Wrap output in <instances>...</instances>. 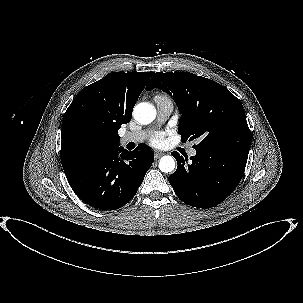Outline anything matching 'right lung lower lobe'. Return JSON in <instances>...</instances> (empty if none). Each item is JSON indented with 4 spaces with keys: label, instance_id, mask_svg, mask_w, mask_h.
<instances>
[{
    "label": "right lung lower lobe",
    "instance_id": "98d812e1",
    "mask_svg": "<svg viewBox=\"0 0 303 303\" xmlns=\"http://www.w3.org/2000/svg\"><path fill=\"white\" fill-rule=\"evenodd\" d=\"M153 160L152 150L143 144L132 152L116 147L65 171V175L83 202L115 210L134 197Z\"/></svg>",
    "mask_w": 303,
    "mask_h": 303
}]
</instances>
